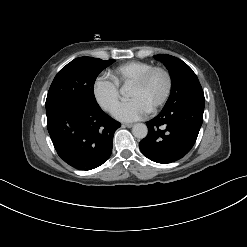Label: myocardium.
Segmentation results:
<instances>
[{"label":"myocardium","mask_w":247,"mask_h":247,"mask_svg":"<svg viewBox=\"0 0 247 247\" xmlns=\"http://www.w3.org/2000/svg\"><path fill=\"white\" fill-rule=\"evenodd\" d=\"M155 72H161L165 75L167 86H166V90L162 98L150 109L151 112L157 111L158 109L163 107L165 103L168 101L172 93V90H173V77H172L171 72L165 67L153 66L150 69H148L146 72H144L141 76H139L135 81L132 82L133 86L142 87L148 82L150 77Z\"/></svg>","instance_id":"1"}]
</instances>
